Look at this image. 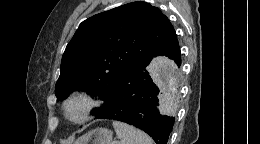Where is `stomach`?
I'll use <instances>...</instances> for the list:
<instances>
[{
	"label": "stomach",
	"mask_w": 260,
	"mask_h": 144,
	"mask_svg": "<svg viewBox=\"0 0 260 144\" xmlns=\"http://www.w3.org/2000/svg\"><path fill=\"white\" fill-rule=\"evenodd\" d=\"M112 135L107 128H96L79 137L75 144H112Z\"/></svg>",
	"instance_id": "stomach-1"
}]
</instances>
